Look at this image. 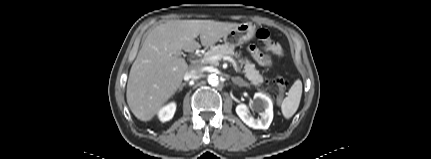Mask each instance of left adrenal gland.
<instances>
[{"instance_id":"obj_1","label":"left adrenal gland","mask_w":431,"mask_h":159,"mask_svg":"<svg viewBox=\"0 0 431 159\" xmlns=\"http://www.w3.org/2000/svg\"><path fill=\"white\" fill-rule=\"evenodd\" d=\"M231 79H232V81H233V83L235 84V85H238V86H246V87H249V85L247 84V83H245L241 78H234V77H231Z\"/></svg>"}]
</instances>
